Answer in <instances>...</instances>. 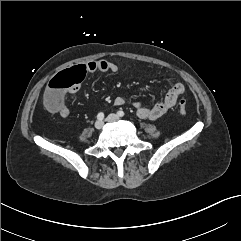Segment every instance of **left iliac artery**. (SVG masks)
I'll return each mask as SVG.
<instances>
[{"label": "left iliac artery", "mask_w": 241, "mask_h": 241, "mask_svg": "<svg viewBox=\"0 0 241 241\" xmlns=\"http://www.w3.org/2000/svg\"><path fill=\"white\" fill-rule=\"evenodd\" d=\"M117 114H118V116L123 117L125 113H124V111L119 110V111L117 112Z\"/></svg>", "instance_id": "left-iliac-artery-1"}]
</instances>
